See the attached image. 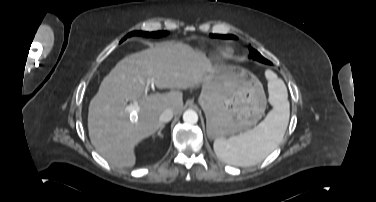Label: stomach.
I'll use <instances>...</instances> for the list:
<instances>
[{"label": "stomach", "instance_id": "stomach-1", "mask_svg": "<svg viewBox=\"0 0 376 202\" xmlns=\"http://www.w3.org/2000/svg\"><path fill=\"white\" fill-rule=\"evenodd\" d=\"M199 104L211 138L241 132L255 125L266 107L262 84L251 72L231 65H213L203 79Z\"/></svg>", "mask_w": 376, "mask_h": 202}]
</instances>
